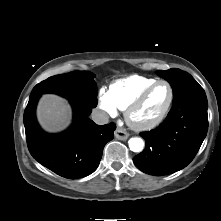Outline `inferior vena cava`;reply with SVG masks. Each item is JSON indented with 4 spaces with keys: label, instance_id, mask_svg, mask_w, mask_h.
I'll return each instance as SVG.
<instances>
[{
    "label": "inferior vena cava",
    "instance_id": "602c4592",
    "mask_svg": "<svg viewBox=\"0 0 221 221\" xmlns=\"http://www.w3.org/2000/svg\"><path fill=\"white\" fill-rule=\"evenodd\" d=\"M91 117L92 120L98 125H104L109 122V115L99 109L93 110Z\"/></svg>",
    "mask_w": 221,
    "mask_h": 221
}]
</instances>
